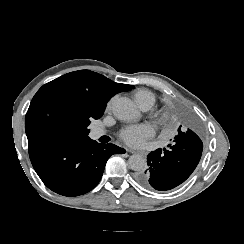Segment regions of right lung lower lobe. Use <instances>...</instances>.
<instances>
[{
	"label": "right lung lower lobe",
	"mask_w": 244,
	"mask_h": 244,
	"mask_svg": "<svg viewBox=\"0 0 244 244\" xmlns=\"http://www.w3.org/2000/svg\"><path fill=\"white\" fill-rule=\"evenodd\" d=\"M32 165L43 183L64 196H78L100 181L106 162L113 154L126 151L114 144L82 139L28 138Z\"/></svg>",
	"instance_id": "98d812e1"
}]
</instances>
